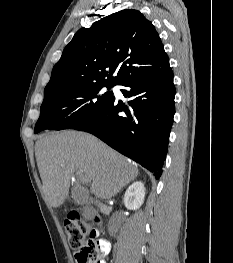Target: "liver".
Returning <instances> with one entry per match:
<instances>
[{"instance_id": "liver-1", "label": "liver", "mask_w": 233, "mask_h": 263, "mask_svg": "<svg viewBox=\"0 0 233 263\" xmlns=\"http://www.w3.org/2000/svg\"><path fill=\"white\" fill-rule=\"evenodd\" d=\"M35 155L45 202L56 208L68 197L75 172L91 180L90 192L107 200L135 180L138 168L95 136L73 130L46 134L36 142Z\"/></svg>"}]
</instances>
